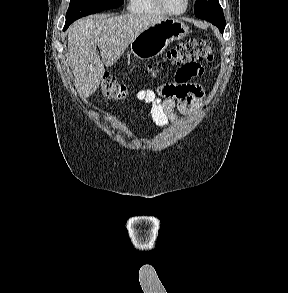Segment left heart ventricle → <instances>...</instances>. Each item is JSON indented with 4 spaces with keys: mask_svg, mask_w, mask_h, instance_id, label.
Instances as JSON below:
<instances>
[{
    "mask_svg": "<svg viewBox=\"0 0 288 293\" xmlns=\"http://www.w3.org/2000/svg\"><path fill=\"white\" fill-rule=\"evenodd\" d=\"M167 7L175 12L181 11L185 6V0H164Z\"/></svg>",
    "mask_w": 288,
    "mask_h": 293,
    "instance_id": "left-heart-ventricle-1",
    "label": "left heart ventricle"
}]
</instances>
